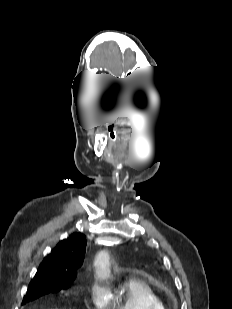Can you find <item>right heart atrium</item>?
I'll list each match as a JSON object with an SVG mask.
<instances>
[{
	"label": "right heart atrium",
	"instance_id": "d8ad5b80",
	"mask_svg": "<svg viewBox=\"0 0 232 309\" xmlns=\"http://www.w3.org/2000/svg\"><path fill=\"white\" fill-rule=\"evenodd\" d=\"M91 294H92L93 300L96 303L100 304L101 306L106 301L107 291L100 284H97V283L93 284L92 289H91Z\"/></svg>",
	"mask_w": 232,
	"mask_h": 309
}]
</instances>
